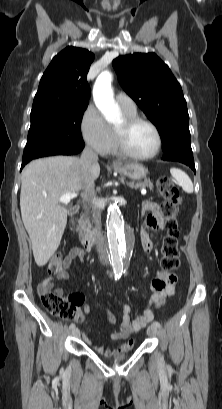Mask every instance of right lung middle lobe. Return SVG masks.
I'll use <instances>...</instances> for the list:
<instances>
[{
    "mask_svg": "<svg viewBox=\"0 0 222 409\" xmlns=\"http://www.w3.org/2000/svg\"><path fill=\"white\" fill-rule=\"evenodd\" d=\"M86 104H59L32 109L23 161L71 155L84 146L80 124Z\"/></svg>",
    "mask_w": 222,
    "mask_h": 409,
    "instance_id": "obj_1",
    "label": "right lung middle lobe"
}]
</instances>
